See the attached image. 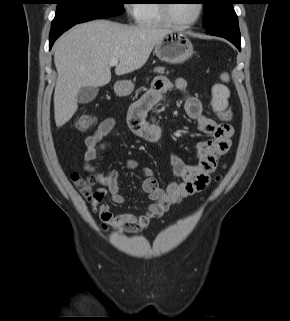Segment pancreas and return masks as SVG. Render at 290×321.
Returning <instances> with one entry per match:
<instances>
[{
    "label": "pancreas",
    "mask_w": 290,
    "mask_h": 321,
    "mask_svg": "<svg viewBox=\"0 0 290 321\" xmlns=\"http://www.w3.org/2000/svg\"><path fill=\"white\" fill-rule=\"evenodd\" d=\"M165 68L160 67V68H156L155 71L158 73H164Z\"/></svg>",
    "instance_id": "pancreas-1"
}]
</instances>
